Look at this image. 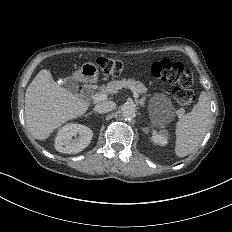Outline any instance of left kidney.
<instances>
[{
  "label": "left kidney",
  "instance_id": "1",
  "mask_svg": "<svg viewBox=\"0 0 232 232\" xmlns=\"http://www.w3.org/2000/svg\"><path fill=\"white\" fill-rule=\"evenodd\" d=\"M152 125L154 127H160L162 125V123H160L158 120H153L152 121ZM167 131L162 129L159 132H157L156 130L152 131V141L155 144H158L160 146H165L168 143V138H167Z\"/></svg>",
  "mask_w": 232,
  "mask_h": 232
}]
</instances>
